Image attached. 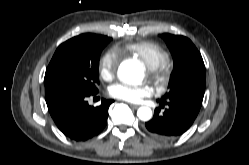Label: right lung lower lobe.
I'll return each mask as SVG.
<instances>
[{
  "mask_svg": "<svg viewBox=\"0 0 249 165\" xmlns=\"http://www.w3.org/2000/svg\"><path fill=\"white\" fill-rule=\"evenodd\" d=\"M95 93L45 91L47 107L55 124L70 139L85 141L99 134L106 126L108 109L114 100L102 99L100 106L91 107L85 99Z\"/></svg>",
  "mask_w": 249,
  "mask_h": 165,
  "instance_id": "obj_1",
  "label": "right lung lower lobe"
}]
</instances>
